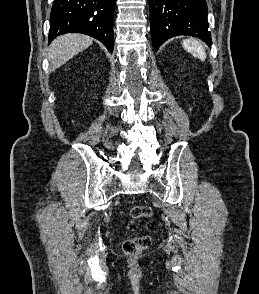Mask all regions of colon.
<instances>
[{"mask_svg": "<svg viewBox=\"0 0 259 294\" xmlns=\"http://www.w3.org/2000/svg\"><path fill=\"white\" fill-rule=\"evenodd\" d=\"M129 215L131 218L139 221L151 216V208L143 205H136L130 208ZM132 229H136L137 226L132 224L130 226ZM151 237L148 235L135 236L126 239L123 242V251L128 255H138L147 249L151 245Z\"/></svg>", "mask_w": 259, "mask_h": 294, "instance_id": "1", "label": "colon"}]
</instances>
